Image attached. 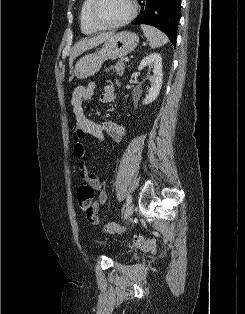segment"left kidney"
Returning <instances> with one entry per match:
<instances>
[{
    "label": "left kidney",
    "instance_id": "left-kidney-1",
    "mask_svg": "<svg viewBox=\"0 0 245 314\" xmlns=\"http://www.w3.org/2000/svg\"><path fill=\"white\" fill-rule=\"evenodd\" d=\"M149 66L153 68V75L150 78L151 87L148 90L146 98L143 100V105L152 103L159 95L162 86V58L159 53H152L142 59L139 64L138 70L141 71L144 67Z\"/></svg>",
    "mask_w": 245,
    "mask_h": 314
}]
</instances>
